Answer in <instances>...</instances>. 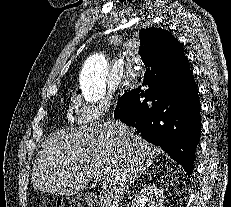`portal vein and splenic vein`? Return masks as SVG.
Masks as SVG:
<instances>
[{
  "label": "portal vein and splenic vein",
  "instance_id": "obj_1",
  "mask_svg": "<svg viewBox=\"0 0 231 207\" xmlns=\"http://www.w3.org/2000/svg\"><path fill=\"white\" fill-rule=\"evenodd\" d=\"M98 181H99L98 179L95 180V182H98Z\"/></svg>",
  "mask_w": 231,
  "mask_h": 207
}]
</instances>
